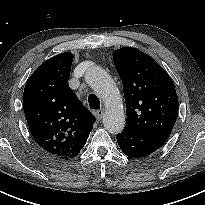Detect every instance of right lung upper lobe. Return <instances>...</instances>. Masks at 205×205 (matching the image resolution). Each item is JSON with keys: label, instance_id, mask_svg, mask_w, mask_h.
Returning a JSON list of instances; mask_svg holds the SVG:
<instances>
[{"label": "right lung upper lobe", "instance_id": "right-lung-upper-lobe-1", "mask_svg": "<svg viewBox=\"0 0 205 205\" xmlns=\"http://www.w3.org/2000/svg\"><path fill=\"white\" fill-rule=\"evenodd\" d=\"M72 61V53L65 52L43 62L28 79L23 94L33 138L62 159L79 154L95 122L68 85Z\"/></svg>", "mask_w": 205, "mask_h": 205}]
</instances>
